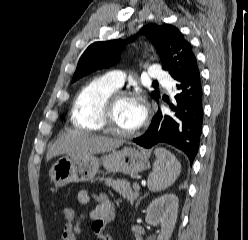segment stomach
I'll use <instances>...</instances> for the list:
<instances>
[{
    "instance_id": "obj_1",
    "label": "stomach",
    "mask_w": 248,
    "mask_h": 240,
    "mask_svg": "<svg viewBox=\"0 0 248 240\" xmlns=\"http://www.w3.org/2000/svg\"><path fill=\"white\" fill-rule=\"evenodd\" d=\"M149 156V152L132 147L113 150L100 158L94 154L67 155L52 165L50 178L56 187H63L71 182L91 181L100 165H103L108 172L135 175L149 166Z\"/></svg>"
}]
</instances>
